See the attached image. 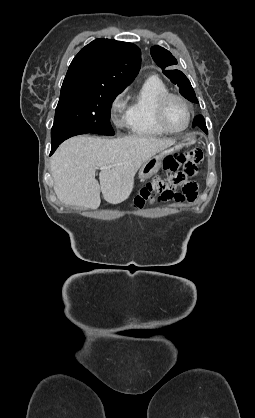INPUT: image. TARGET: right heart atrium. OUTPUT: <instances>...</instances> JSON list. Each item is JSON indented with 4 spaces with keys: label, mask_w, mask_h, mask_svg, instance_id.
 Instances as JSON below:
<instances>
[{
    "label": "right heart atrium",
    "mask_w": 255,
    "mask_h": 418,
    "mask_svg": "<svg viewBox=\"0 0 255 418\" xmlns=\"http://www.w3.org/2000/svg\"><path fill=\"white\" fill-rule=\"evenodd\" d=\"M124 110L125 99L124 93L121 92L114 97L109 108L110 119L117 127H121L126 123V114H124Z\"/></svg>",
    "instance_id": "1"
}]
</instances>
